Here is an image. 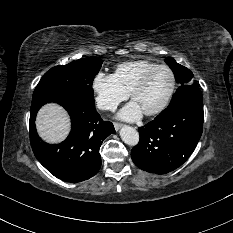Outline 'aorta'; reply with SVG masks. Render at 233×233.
Returning a JSON list of instances; mask_svg holds the SVG:
<instances>
[{
  "label": "aorta",
  "instance_id": "aorta-1",
  "mask_svg": "<svg viewBox=\"0 0 233 233\" xmlns=\"http://www.w3.org/2000/svg\"><path fill=\"white\" fill-rule=\"evenodd\" d=\"M120 137L125 144L130 146H135L139 142V133L131 126H123L120 130Z\"/></svg>",
  "mask_w": 233,
  "mask_h": 233
}]
</instances>
